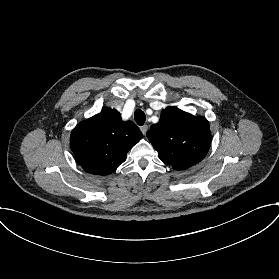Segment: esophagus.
<instances>
[{
  "label": "esophagus",
  "mask_w": 279,
  "mask_h": 279,
  "mask_svg": "<svg viewBox=\"0 0 279 279\" xmlns=\"http://www.w3.org/2000/svg\"><path fill=\"white\" fill-rule=\"evenodd\" d=\"M140 130L142 132L143 135L146 134L147 130H148V125H143L140 127Z\"/></svg>",
  "instance_id": "obj_1"
}]
</instances>
